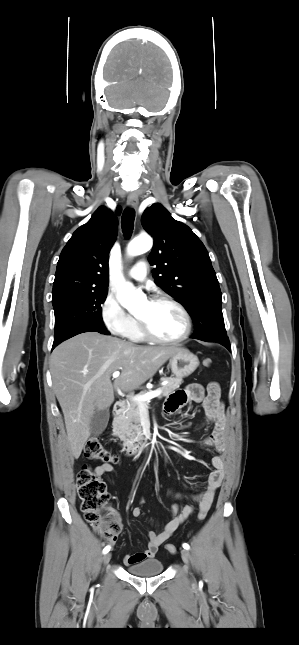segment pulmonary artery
<instances>
[{
    "label": "pulmonary artery",
    "mask_w": 299,
    "mask_h": 645,
    "mask_svg": "<svg viewBox=\"0 0 299 645\" xmlns=\"http://www.w3.org/2000/svg\"><path fill=\"white\" fill-rule=\"evenodd\" d=\"M148 272V266L145 261L137 262L128 272L130 278L136 281H144Z\"/></svg>",
    "instance_id": "obj_1"
}]
</instances>
